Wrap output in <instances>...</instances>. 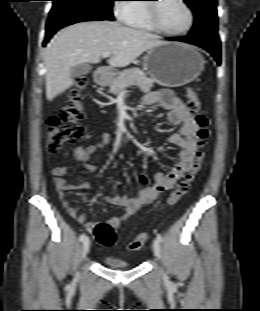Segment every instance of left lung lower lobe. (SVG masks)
Here are the masks:
<instances>
[{"label": "left lung lower lobe", "mask_w": 260, "mask_h": 311, "mask_svg": "<svg viewBox=\"0 0 260 311\" xmlns=\"http://www.w3.org/2000/svg\"><path fill=\"white\" fill-rule=\"evenodd\" d=\"M169 40L182 41L193 45L200 46L207 50L217 61L218 65L221 64V48L220 41H213L208 39L187 37V38H169Z\"/></svg>", "instance_id": "0a47b994"}]
</instances>
